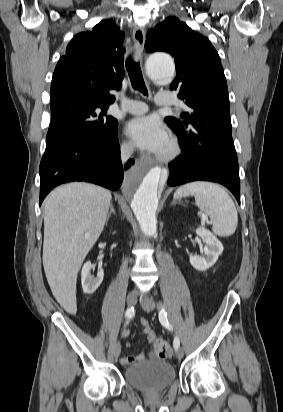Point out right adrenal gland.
<instances>
[{"instance_id": "right-adrenal-gland-1", "label": "right adrenal gland", "mask_w": 283, "mask_h": 412, "mask_svg": "<svg viewBox=\"0 0 283 412\" xmlns=\"http://www.w3.org/2000/svg\"><path fill=\"white\" fill-rule=\"evenodd\" d=\"M115 213H116V212H115V209H114V207H113V204L110 203V211H109V213H108V215H107L106 224H107V222L109 221L111 215H112V214L115 215Z\"/></svg>"}]
</instances>
